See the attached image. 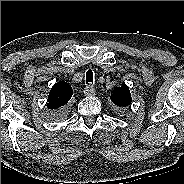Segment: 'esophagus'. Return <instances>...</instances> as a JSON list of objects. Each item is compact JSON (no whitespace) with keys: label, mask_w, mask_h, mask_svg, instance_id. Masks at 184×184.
Masks as SVG:
<instances>
[{"label":"esophagus","mask_w":184,"mask_h":184,"mask_svg":"<svg viewBox=\"0 0 184 184\" xmlns=\"http://www.w3.org/2000/svg\"><path fill=\"white\" fill-rule=\"evenodd\" d=\"M84 94L86 96H94L95 95V88L93 87V85H91V84L86 85V87L84 89Z\"/></svg>","instance_id":"esophagus-1"}]
</instances>
